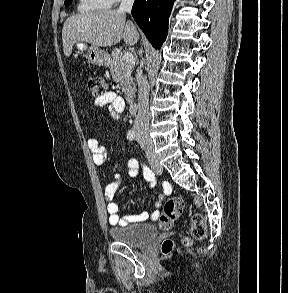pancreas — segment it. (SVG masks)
I'll return each mask as SVG.
<instances>
[{
    "mask_svg": "<svg viewBox=\"0 0 288 293\" xmlns=\"http://www.w3.org/2000/svg\"><path fill=\"white\" fill-rule=\"evenodd\" d=\"M122 48H116L111 53L110 71L112 77L120 83L125 94V99L131 101L136 92L135 79L132 77L134 63L122 60Z\"/></svg>",
    "mask_w": 288,
    "mask_h": 293,
    "instance_id": "pancreas-1",
    "label": "pancreas"
}]
</instances>
